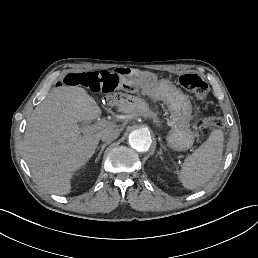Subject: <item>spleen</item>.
Segmentation results:
<instances>
[{
    "label": "spleen",
    "instance_id": "obj_1",
    "mask_svg": "<svg viewBox=\"0 0 258 258\" xmlns=\"http://www.w3.org/2000/svg\"><path fill=\"white\" fill-rule=\"evenodd\" d=\"M223 141V131L215 129L205 143L186 157L182 169L177 173L185 188L193 190L212 179L222 160Z\"/></svg>",
    "mask_w": 258,
    "mask_h": 258
}]
</instances>
